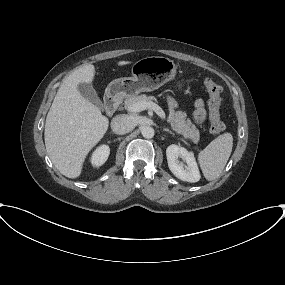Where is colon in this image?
Returning <instances> with one entry per match:
<instances>
[{
  "mask_svg": "<svg viewBox=\"0 0 285 285\" xmlns=\"http://www.w3.org/2000/svg\"><path fill=\"white\" fill-rule=\"evenodd\" d=\"M204 86L209 94L208 111L210 119V132L214 135L220 134L224 130V123L221 118V87L212 79L206 78Z\"/></svg>",
  "mask_w": 285,
  "mask_h": 285,
  "instance_id": "obj_1",
  "label": "colon"
}]
</instances>
